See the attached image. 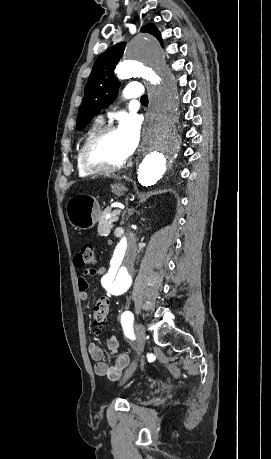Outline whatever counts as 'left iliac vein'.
Here are the masks:
<instances>
[{
	"instance_id": "left-iliac-vein-1",
	"label": "left iliac vein",
	"mask_w": 271,
	"mask_h": 459,
	"mask_svg": "<svg viewBox=\"0 0 271 459\" xmlns=\"http://www.w3.org/2000/svg\"><path fill=\"white\" fill-rule=\"evenodd\" d=\"M135 334H136V352L140 356L143 353L144 343L146 340L145 330L141 324H137L135 326ZM136 368V361H133L130 368L122 378V382H125L126 379L132 374V372Z\"/></svg>"
}]
</instances>
